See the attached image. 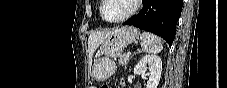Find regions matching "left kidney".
<instances>
[{"instance_id":"1","label":"left kidney","mask_w":227,"mask_h":88,"mask_svg":"<svg viewBox=\"0 0 227 88\" xmlns=\"http://www.w3.org/2000/svg\"><path fill=\"white\" fill-rule=\"evenodd\" d=\"M161 72L162 61L157 55H145L134 68L135 74L148 77L146 88H157L161 78Z\"/></svg>"}]
</instances>
